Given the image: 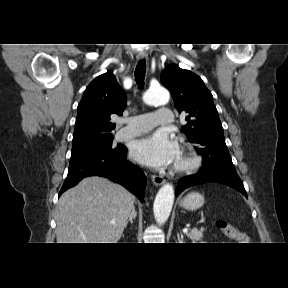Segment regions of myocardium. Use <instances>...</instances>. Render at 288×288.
<instances>
[{
	"mask_svg": "<svg viewBox=\"0 0 288 288\" xmlns=\"http://www.w3.org/2000/svg\"><path fill=\"white\" fill-rule=\"evenodd\" d=\"M200 159L190 150H184L176 164V169L180 171L192 170L198 167Z\"/></svg>",
	"mask_w": 288,
	"mask_h": 288,
	"instance_id": "1",
	"label": "myocardium"
}]
</instances>
